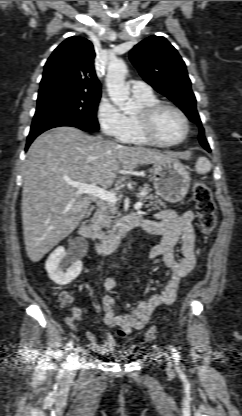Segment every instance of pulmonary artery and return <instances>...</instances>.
I'll use <instances>...</instances> for the list:
<instances>
[{
	"label": "pulmonary artery",
	"instance_id": "obj_1",
	"mask_svg": "<svg viewBox=\"0 0 242 416\" xmlns=\"http://www.w3.org/2000/svg\"><path fill=\"white\" fill-rule=\"evenodd\" d=\"M130 88L133 95H148L152 93V88L145 82L130 81Z\"/></svg>",
	"mask_w": 242,
	"mask_h": 416
}]
</instances>
